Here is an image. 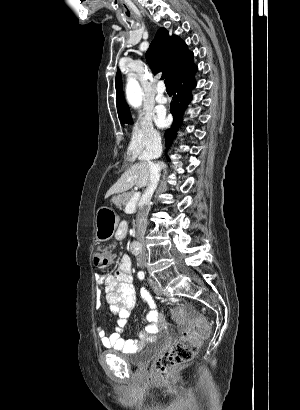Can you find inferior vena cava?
<instances>
[{
    "mask_svg": "<svg viewBox=\"0 0 300 410\" xmlns=\"http://www.w3.org/2000/svg\"><path fill=\"white\" fill-rule=\"evenodd\" d=\"M161 153V139L159 137L154 138L150 143V150L143 157L144 162L149 166L150 170V182L146 188V191L142 197L143 206L140 207L137 213V235H138V244L140 245V254L137 257V265L141 268L145 267L147 253H146V227H147V216L149 212V202L153 196L155 189L157 188L159 179H160V170L162 168L161 164L152 162L153 158H156Z\"/></svg>",
    "mask_w": 300,
    "mask_h": 410,
    "instance_id": "602c4592",
    "label": "inferior vena cava"
}]
</instances>
